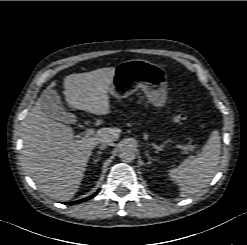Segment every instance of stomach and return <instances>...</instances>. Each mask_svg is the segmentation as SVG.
I'll use <instances>...</instances> for the list:
<instances>
[{"label":"stomach","mask_w":247,"mask_h":245,"mask_svg":"<svg viewBox=\"0 0 247 245\" xmlns=\"http://www.w3.org/2000/svg\"><path fill=\"white\" fill-rule=\"evenodd\" d=\"M141 89L155 107H162L167 99V74L157 64L143 59H133L118 64L110 93L123 99Z\"/></svg>","instance_id":"stomach-1"}]
</instances>
